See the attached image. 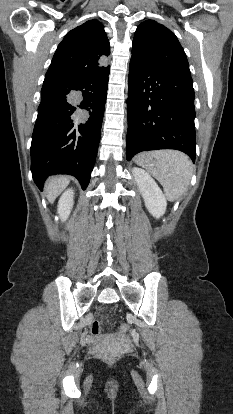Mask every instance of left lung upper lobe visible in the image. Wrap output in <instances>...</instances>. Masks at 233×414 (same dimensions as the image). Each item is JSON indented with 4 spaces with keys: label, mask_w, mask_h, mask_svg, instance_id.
<instances>
[{
    "label": "left lung upper lobe",
    "mask_w": 233,
    "mask_h": 414,
    "mask_svg": "<svg viewBox=\"0 0 233 414\" xmlns=\"http://www.w3.org/2000/svg\"><path fill=\"white\" fill-rule=\"evenodd\" d=\"M131 58L160 72L191 77L186 54L177 37L154 20L138 26Z\"/></svg>",
    "instance_id": "obj_1"
}]
</instances>
